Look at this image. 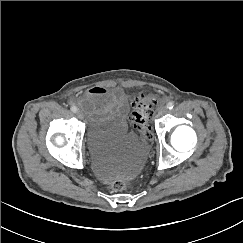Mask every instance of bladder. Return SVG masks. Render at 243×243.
Listing matches in <instances>:
<instances>
[{
	"instance_id": "bladder-1",
	"label": "bladder",
	"mask_w": 243,
	"mask_h": 243,
	"mask_svg": "<svg viewBox=\"0 0 243 243\" xmlns=\"http://www.w3.org/2000/svg\"><path fill=\"white\" fill-rule=\"evenodd\" d=\"M91 153L117 158L116 174H136L145 157V145L140 135L129 130L125 119L114 115L93 117L86 133Z\"/></svg>"
}]
</instances>
